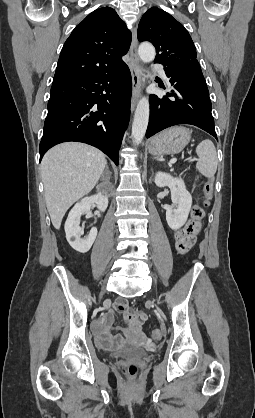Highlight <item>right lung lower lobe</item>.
<instances>
[{
    "mask_svg": "<svg viewBox=\"0 0 255 418\" xmlns=\"http://www.w3.org/2000/svg\"><path fill=\"white\" fill-rule=\"evenodd\" d=\"M132 80L127 65L106 74L53 82L40 142V161L56 144L77 141L107 154L116 165L130 116Z\"/></svg>",
    "mask_w": 255,
    "mask_h": 418,
    "instance_id": "1",
    "label": "right lung lower lobe"
}]
</instances>
